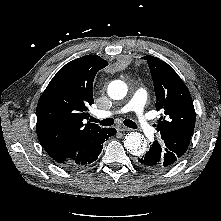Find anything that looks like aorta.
<instances>
[{
  "mask_svg": "<svg viewBox=\"0 0 221 221\" xmlns=\"http://www.w3.org/2000/svg\"><path fill=\"white\" fill-rule=\"evenodd\" d=\"M127 85L121 80H114L108 85V95L113 100H121L127 95ZM124 147L132 155L140 156L147 148L144 137L138 132H130L124 138Z\"/></svg>",
  "mask_w": 221,
  "mask_h": 221,
  "instance_id": "obj_1",
  "label": "aorta"
}]
</instances>
